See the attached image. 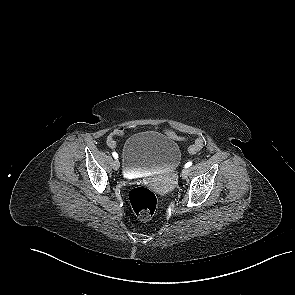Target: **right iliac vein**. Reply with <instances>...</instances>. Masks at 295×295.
I'll return each instance as SVG.
<instances>
[{"label":"right iliac vein","instance_id":"63e3f726","mask_svg":"<svg viewBox=\"0 0 295 295\" xmlns=\"http://www.w3.org/2000/svg\"><path fill=\"white\" fill-rule=\"evenodd\" d=\"M112 165H113V169L116 170V171L120 167V163H119V161L117 159L113 161V164Z\"/></svg>","mask_w":295,"mask_h":295}]
</instances>
